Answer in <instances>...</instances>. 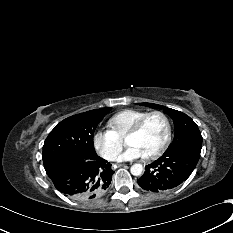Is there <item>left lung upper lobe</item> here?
I'll return each mask as SVG.
<instances>
[{
  "label": "left lung upper lobe",
  "instance_id": "left-lung-upper-lobe-1",
  "mask_svg": "<svg viewBox=\"0 0 233 233\" xmlns=\"http://www.w3.org/2000/svg\"><path fill=\"white\" fill-rule=\"evenodd\" d=\"M139 105L155 109H163L174 121L175 136L167 151L173 149H188L201 152L202 136L195 122L183 112L153 103H140Z\"/></svg>",
  "mask_w": 233,
  "mask_h": 233
}]
</instances>
